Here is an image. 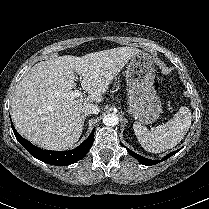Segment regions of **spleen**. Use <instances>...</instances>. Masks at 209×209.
<instances>
[{"label":"spleen","instance_id":"3e777b00","mask_svg":"<svg viewBox=\"0 0 209 209\" xmlns=\"http://www.w3.org/2000/svg\"><path fill=\"white\" fill-rule=\"evenodd\" d=\"M191 119L189 108L183 106L171 120L157 126L154 131H149L140 122H135L133 129L139 143L146 151L160 153L181 142L190 128Z\"/></svg>","mask_w":209,"mask_h":209}]
</instances>
